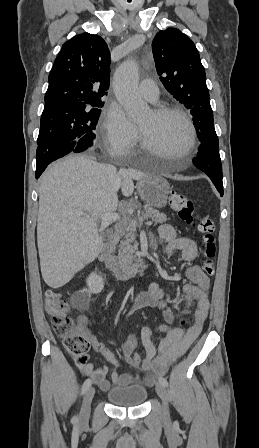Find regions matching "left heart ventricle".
I'll return each instance as SVG.
<instances>
[{"mask_svg":"<svg viewBox=\"0 0 259 448\" xmlns=\"http://www.w3.org/2000/svg\"><path fill=\"white\" fill-rule=\"evenodd\" d=\"M146 139L158 149L157 155L181 159V148L188 139L185 122L175 114L157 117L152 110L138 123Z\"/></svg>","mask_w":259,"mask_h":448,"instance_id":"obj_1","label":"left heart ventricle"}]
</instances>
